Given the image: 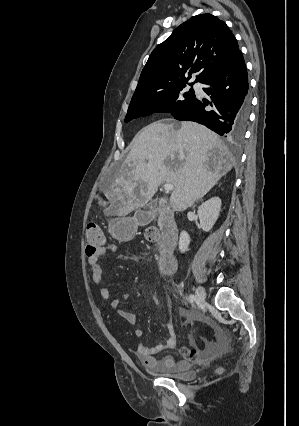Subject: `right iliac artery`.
I'll list each match as a JSON object with an SVG mask.
<instances>
[{
	"mask_svg": "<svg viewBox=\"0 0 299 426\" xmlns=\"http://www.w3.org/2000/svg\"><path fill=\"white\" fill-rule=\"evenodd\" d=\"M195 296L193 294L189 295V302L193 303L195 301Z\"/></svg>",
	"mask_w": 299,
	"mask_h": 426,
	"instance_id": "1",
	"label": "right iliac artery"
}]
</instances>
